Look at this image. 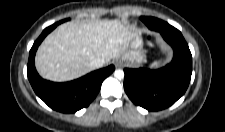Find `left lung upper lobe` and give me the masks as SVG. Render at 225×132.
<instances>
[{
    "mask_svg": "<svg viewBox=\"0 0 225 132\" xmlns=\"http://www.w3.org/2000/svg\"><path fill=\"white\" fill-rule=\"evenodd\" d=\"M146 17H141V20L146 24V19H145Z\"/></svg>",
    "mask_w": 225,
    "mask_h": 132,
    "instance_id": "obj_1",
    "label": "left lung upper lobe"
}]
</instances>
